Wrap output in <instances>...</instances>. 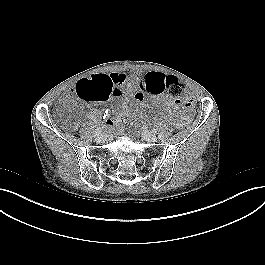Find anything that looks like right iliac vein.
I'll return each mask as SVG.
<instances>
[{
    "mask_svg": "<svg viewBox=\"0 0 265 265\" xmlns=\"http://www.w3.org/2000/svg\"><path fill=\"white\" fill-rule=\"evenodd\" d=\"M105 140H106L105 135H99V136L96 137V141L98 143H103V142H105Z\"/></svg>",
    "mask_w": 265,
    "mask_h": 265,
    "instance_id": "63e3f726",
    "label": "right iliac vein"
}]
</instances>
